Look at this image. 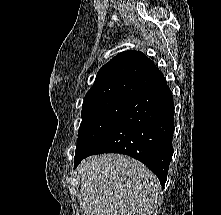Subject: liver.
Returning <instances> with one entry per match:
<instances>
[{"label":"liver","instance_id":"6515ba94","mask_svg":"<svg viewBox=\"0 0 221 215\" xmlns=\"http://www.w3.org/2000/svg\"><path fill=\"white\" fill-rule=\"evenodd\" d=\"M84 215H152L161 190L141 162L120 154L86 158L78 167Z\"/></svg>","mask_w":221,"mask_h":215}]
</instances>
